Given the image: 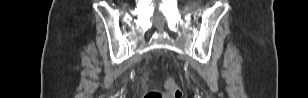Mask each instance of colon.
Wrapping results in <instances>:
<instances>
[{"label": "colon", "mask_w": 308, "mask_h": 98, "mask_svg": "<svg viewBox=\"0 0 308 98\" xmlns=\"http://www.w3.org/2000/svg\"><path fill=\"white\" fill-rule=\"evenodd\" d=\"M181 90L173 79L165 83V91L151 90L144 95V98H181Z\"/></svg>", "instance_id": "5ec220e1"}]
</instances>
